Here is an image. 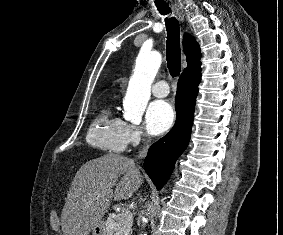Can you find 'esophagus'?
I'll return each mask as SVG.
<instances>
[{
  "mask_svg": "<svg viewBox=\"0 0 283 235\" xmlns=\"http://www.w3.org/2000/svg\"><path fill=\"white\" fill-rule=\"evenodd\" d=\"M173 7L175 8L176 13L178 14L180 20L184 21V15H183L182 11L180 10V8L176 4H173Z\"/></svg>",
  "mask_w": 283,
  "mask_h": 235,
  "instance_id": "1",
  "label": "esophagus"
}]
</instances>
